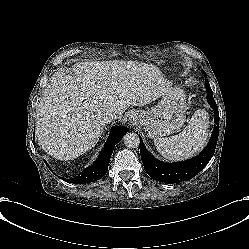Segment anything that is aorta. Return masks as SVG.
Wrapping results in <instances>:
<instances>
[{
    "label": "aorta",
    "mask_w": 249,
    "mask_h": 249,
    "mask_svg": "<svg viewBox=\"0 0 249 249\" xmlns=\"http://www.w3.org/2000/svg\"><path fill=\"white\" fill-rule=\"evenodd\" d=\"M123 142L127 148H137L139 146L140 139L137 134L129 132L124 135Z\"/></svg>",
    "instance_id": "762f6f07"
}]
</instances>
